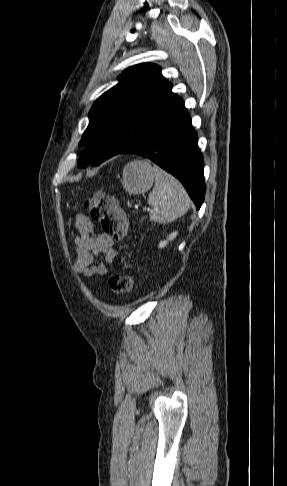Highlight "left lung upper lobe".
<instances>
[{
    "label": "left lung upper lobe",
    "mask_w": 287,
    "mask_h": 486,
    "mask_svg": "<svg viewBox=\"0 0 287 486\" xmlns=\"http://www.w3.org/2000/svg\"><path fill=\"white\" fill-rule=\"evenodd\" d=\"M155 64H138L100 96L89 112L80 145H94L81 155L79 167L99 165L138 147L181 102Z\"/></svg>",
    "instance_id": "left-lung-upper-lobe-1"
}]
</instances>
